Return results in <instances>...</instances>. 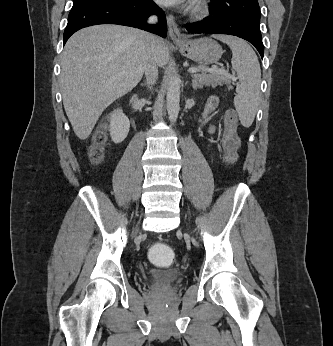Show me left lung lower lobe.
Returning a JSON list of instances; mask_svg holds the SVG:
<instances>
[{
  "label": "left lung lower lobe",
  "instance_id": "1",
  "mask_svg": "<svg viewBox=\"0 0 333 346\" xmlns=\"http://www.w3.org/2000/svg\"><path fill=\"white\" fill-rule=\"evenodd\" d=\"M209 11L211 16L201 21L187 24V31L190 33L228 34L238 36L253 44L263 58L264 49L259 26L241 18L221 17L213 10Z\"/></svg>",
  "mask_w": 333,
  "mask_h": 346
}]
</instances>
